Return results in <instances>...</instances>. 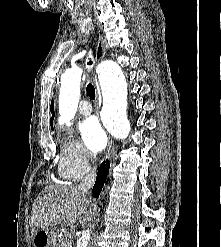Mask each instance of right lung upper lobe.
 <instances>
[{
  "instance_id": "right-lung-upper-lobe-1",
  "label": "right lung upper lobe",
  "mask_w": 221,
  "mask_h": 247,
  "mask_svg": "<svg viewBox=\"0 0 221 247\" xmlns=\"http://www.w3.org/2000/svg\"><path fill=\"white\" fill-rule=\"evenodd\" d=\"M50 109H51V113H52V117H51L50 122H51V128L53 129V125H52V122H53V119H54V102H53V100H52V102H51V107H50Z\"/></svg>"
}]
</instances>
